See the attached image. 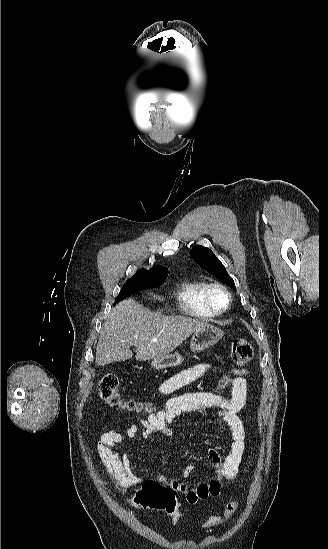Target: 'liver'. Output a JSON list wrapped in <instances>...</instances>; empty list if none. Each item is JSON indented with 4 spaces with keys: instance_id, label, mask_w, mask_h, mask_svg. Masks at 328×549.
<instances>
[{
    "instance_id": "6515ba94",
    "label": "liver",
    "mask_w": 328,
    "mask_h": 549,
    "mask_svg": "<svg viewBox=\"0 0 328 549\" xmlns=\"http://www.w3.org/2000/svg\"><path fill=\"white\" fill-rule=\"evenodd\" d=\"M208 321L193 317H164L142 307L133 299L113 307L102 325L96 349V365L127 361L136 347L137 361L159 359L175 351L192 333L207 327Z\"/></svg>"
}]
</instances>
